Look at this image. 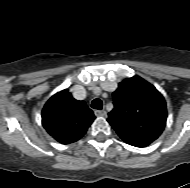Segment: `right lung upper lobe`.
I'll list each match as a JSON object with an SVG mask.
<instances>
[{
    "instance_id": "cb5924a9",
    "label": "right lung upper lobe",
    "mask_w": 190,
    "mask_h": 188,
    "mask_svg": "<svg viewBox=\"0 0 190 188\" xmlns=\"http://www.w3.org/2000/svg\"><path fill=\"white\" fill-rule=\"evenodd\" d=\"M94 119L86 103L74 99L67 89L53 95L42 110L43 127L61 144L82 138Z\"/></svg>"
}]
</instances>
